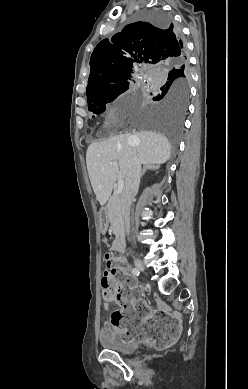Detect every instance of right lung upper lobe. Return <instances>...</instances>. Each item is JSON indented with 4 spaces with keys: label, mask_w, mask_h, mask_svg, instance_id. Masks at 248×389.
Instances as JSON below:
<instances>
[{
    "label": "right lung upper lobe",
    "mask_w": 248,
    "mask_h": 389,
    "mask_svg": "<svg viewBox=\"0 0 248 389\" xmlns=\"http://www.w3.org/2000/svg\"><path fill=\"white\" fill-rule=\"evenodd\" d=\"M178 40L173 24L158 27L148 22L129 24L111 40H102L91 55L87 97L116 79L131 75L135 62L153 67L173 60L187 63L185 45Z\"/></svg>",
    "instance_id": "right-lung-upper-lobe-1"
}]
</instances>
